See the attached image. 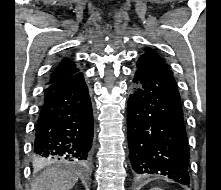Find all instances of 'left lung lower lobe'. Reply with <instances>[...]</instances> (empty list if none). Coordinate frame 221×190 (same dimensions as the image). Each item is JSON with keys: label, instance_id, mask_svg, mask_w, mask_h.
Instances as JSON below:
<instances>
[{"label": "left lung lower lobe", "instance_id": "obj_1", "mask_svg": "<svg viewBox=\"0 0 221 190\" xmlns=\"http://www.w3.org/2000/svg\"><path fill=\"white\" fill-rule=\"evenodd\" d=\"M129 157L138 174L190 184L189 146L177 84L167 66L142 55L127 103Z\"/></svg>", "mask_w": 221, "mask_h": 190}]
</instances>
